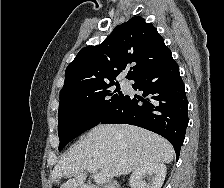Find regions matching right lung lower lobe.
I'll return each instance as SVG.
<instances>
[{
	"label": "right lung lower lobe",
	"mask_w": 224,
	"mask_h": 188,
	"mask_svg": "<svg viewBox=\"0 0 224 188\" xmlns=\"http://www.w3.org/2000/svg\"><path fill=\"white\" fill-rule=\"evenodd\" d=\"M140 96L126 95L100 123L139 126L165 137L174 147L177 159L188 126V101L179 67L171 53L132 79Z\"/></svg>",
	"instance_id": "right-lung-lower-lobe-1"
}]
</instances>
